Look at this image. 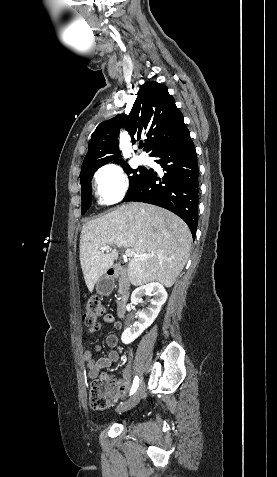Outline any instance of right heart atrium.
Listing matches in <instances>:
<instances>
[{"label": "right heart atrium", "instance_id": "right-heart-atrium-1", "mask_svg": "<svg viewBox=\"0 0 277 477\" xmlns=\"http://www.w3.org/2000/svg\"><path fill=\"white\" fill-rule=\"evenodd\" d=\"M95 186L99 200L107 205L123 199L128 189V177L116 164H106L95 173Z\"/></svg>", "mask_w": 277, "mask_h": 477}]
</instances>
